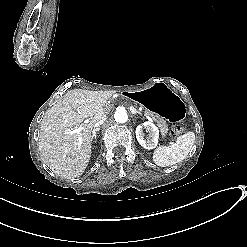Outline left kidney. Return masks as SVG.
Segmentation results:
<instances>
[{"instance_id":"obj_1","label":"left kidney","mask_w":247,"mask_h":247,"mask_svg":"<svg viewBox=\"0 0 247 247\" xmlns=\"http://www.w3.org/2000/svg\"><path fill=\"white\" fill-rule=\"evenodd\" d=\"M144 132H147L148 137ZM135 135L137 142L146 150H151L156 147L158 129L154 124L150 122L139 124L135 129Z\"/></svg>"}]
</instances>
